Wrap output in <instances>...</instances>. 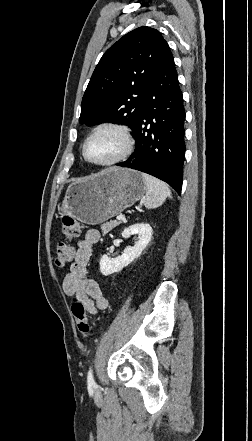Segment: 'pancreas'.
I'll return each mask as SVG.
<instances>
[{"label": "pancreas", "instance_id": "1", "mask_svg": "<svg viewBox=\"0 0 252 441\" xmlns=\"http://www.w3.org/2000/svg\"><path fill=\"white\" fill-rule=\"evenodd\" d=\"M121 224L120 221H110V222H106L104 224H102L100 226L103 235L107 234L109 231H111L113 228H115L116 226H119Z\"/></svg>", "mask_w": 252, "mask_h": 441}]
</instances>
